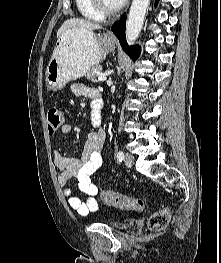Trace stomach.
<instances>
[{
	"label": "stomach",
	"mask_w": 221,
	"mask_h": 263,
	"mask_svg": "<svg viewBox=\"0 0 221 263\" xmlns=\"http://www.w3.org/2000/svg\"><path fill=\"white\" fill-rule=\"evenodd\" d=\"M115 49V41L107 34L69 29L58 39L46 69V86L59 90L68 82L84 76L106 54Z\"/></svg>",
	"instance_id": "stomach-1"
}]
</instances>
